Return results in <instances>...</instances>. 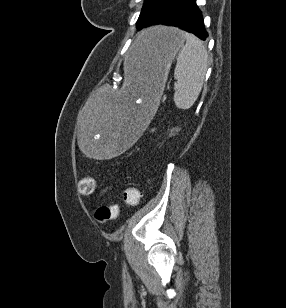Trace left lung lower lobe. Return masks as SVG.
I'll use <instances>...</instances> for the list:
<instances>
[{
  "label": "left lung lower lobe",
  "mask_w": 286,
  "mask_h": 308,
  "mask_svg": "<svg viewBox=\"0 0 286 308\" xmlns=\"http://www.w3.org/2000/svg\"><path fill=\"white\" fill-rule=\"evenodd\" d=\"M154 24L176 26L193 33L202 40H205L208 36L202 14L195 0H172L151 25Z\"/></svg>",
  "instance_id": "0a47b994"
}]
</instances>
